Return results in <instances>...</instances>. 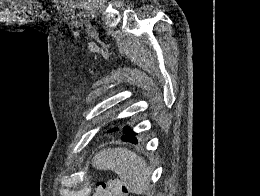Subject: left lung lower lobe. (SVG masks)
<instances>
[{
	"label": "left lung lower lobe",
	"instance_id": "0a47b994",
	"mask_svg": "<svg viewBox=\"0 0 260 196\" xmlns=\"http://www.w3.org/2000/svg\"><path fill=\"white\" fill-rule=\"evenodd\" d=\"M123 133L125 134V135L122 137V140H123V141L131 142V143H134V144H137V143H138V140H137V138L135 137L136 133L133 132L130 127H128V126L124 127Z\"/></svg>",
	"mask_w": 260,
	"mask_h": 196
}]
</instances>
